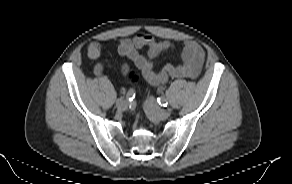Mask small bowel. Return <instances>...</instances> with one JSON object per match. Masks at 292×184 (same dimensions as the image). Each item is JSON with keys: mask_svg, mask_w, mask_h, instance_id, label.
I'll return each mask as SVG.
<instances>
[{"mask_svg": "<svg viewBox=\"0 0 292 184\" xmlns=\"http://www.w3.org/2000/svg\"><path fill=\"white\" fill-rule=\"evenodd\" d=\"M142 48H147L146 55L140 53L139 50ZM171 48L170 42L156 41L147 34L122 38L117 45L118 54L132 62L143 77L154 86L165 84L169 78H197L204 62L205 53L202 47L193 41L185 42L181 64H167L159 71L154 69L153 59ZM103 70L104 66L101 63L94 68L95 74L99 76L102 75Z\"/></svg>", "mask_w": 292, "mask_h": 184, "instance_id": "1", "label": "small bowel"}]
</instances>
